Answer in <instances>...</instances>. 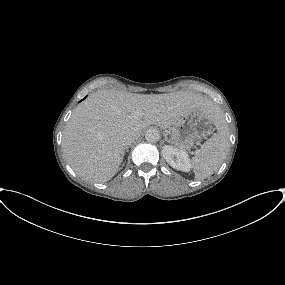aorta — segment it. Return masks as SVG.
<instances>
[{
  "instance_id": "762f6f07",
  "label": "aorta",
  "mask_w": 285,
  "mask_h": 285,
  "mask_svg": "<svg viewBox=\"0 0 285 285\" xmlns=\"http://www.w3.org/2000/svg\"><path fill=\"white\" fill-rule=\"evenodd\" d=\"M160 134L157 129L151 128L145 133V139L150 143H155L159 140Z\"/></svg>"
}]
</instances>
